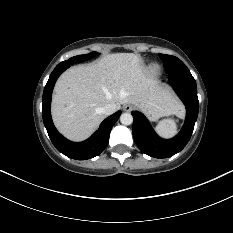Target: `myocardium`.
<instances>
[{"mask_svg": "<svg viewBox=\"0 0 233 233\" xmlns=\"http://www.w3.org/2000/svg\"><path fill=\"white\" fill-rule=\"evenodd\" d=\"M157 68H158V66H157V65H155V64H154V65H152V69H153V70H157Z\"/></svg>", "mask_w": 233, "mask_h": 233, "instance_id": "myocardium-1", "label": "myocardium"}]
</instances>
